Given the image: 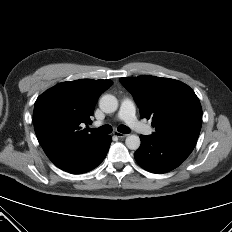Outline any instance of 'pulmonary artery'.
Instances as JSON below:
<instances>
[{"label":"pulmonary artery","instance_id":"e3ab8cb5","mask_svg":"<svg viewBox=\"0 0 232 232\" xmlns=\"http://www.w3.org/2000/svg\"><path fill=\"white\" fill-rule=\"evenodd\" d=\"M118 118L123 120L130 128L140 134L149 135L152 133L151 127L138 120L136 115V106L130 99H124L121 102ZM100 124L101 122L99 121L95 122L96 126H99Z\"/></svg>","mask_w":232,"mask_h":232}]
</instances>
